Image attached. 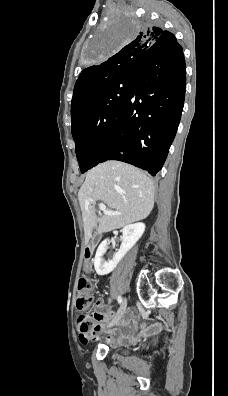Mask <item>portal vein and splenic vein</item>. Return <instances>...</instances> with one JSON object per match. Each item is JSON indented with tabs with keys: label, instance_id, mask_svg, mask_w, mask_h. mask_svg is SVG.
Instances as JSON below:
<instances>
[{
	"label": "portal vein and splenic vein",
	"instance_id": "obj_1",
	"mask_svg": "<svg viewBox=\"0 0 228 396\" xmlns=\"http://www.w3.org/2000/svg\"><path fill=\"white\" fill-rule=\"evenodd\" d=\"M99 209L106 215H121L120 212L107 210L104 203H99Z\"/></svg>",
	"mask_w": 228,
	"mask_h": 396
}]
</instances>
